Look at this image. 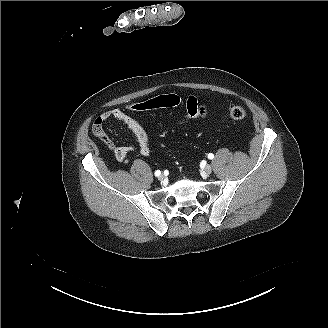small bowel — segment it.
<instances>
[{
	"mask_svg": "<svg viewBox=\"0 0 328 328\" xmlns=\"http://www.w3.org/2000/svg\"><path fill=\"white\" fill-rule=\"evenodd\" d=\"M207 117L206 106L201 104L196 97L190 96L186 100V108L182 118L177 120L174 126L178 129L187 130L191 128L197 121L204 120ZM116 119L124 123L127 128L133 133L139 144V151L146 156L150 152V138L141 123L134 117L128 115L121 109L108 110L101 114L99 119L107 121L109 119ZM134 151L133 146L116 147L113 149L114 156L117 161H125L127 155Z\"/></svg>",
	"mask_w": 328,
	"mask_h": 328,
	"instance_id": "1",
	"label": "small bowel"
}]
</instances>
